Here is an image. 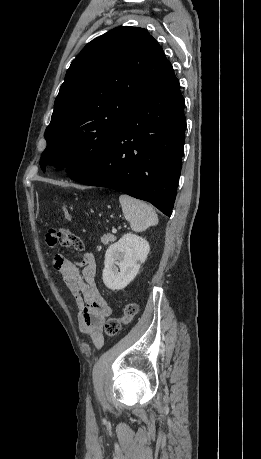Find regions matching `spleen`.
<instances>
[{
  "mask_svg": "<svg viewBox=\"0 0 261 459\" xmlns=\"http://www.w3.org/2000/svg\"><path fill=\"white\" fill-rule=\"evenodd\" d=\"M119 202L125 219L135 232H142L150 226L158 224V216L153 208L147 203L132 198L126 194L119 197Z\"/></svg>",
  "mask_w": 261,
  "mask_h": 459,
  "instance_id": "obj_1",
  "label": "spleen"
}]
</instances>
